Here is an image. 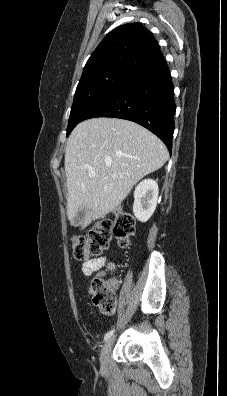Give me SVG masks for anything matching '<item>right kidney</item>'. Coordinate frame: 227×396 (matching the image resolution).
Instances as JSON below:
<instances>
[{
    "label": "right kidney",
    "instance_id": "ca27d5eb",
    "mask_svg": "<svg viewBox=\"0 0 227 396\" xmlns=\"http://www.w3.org/2000/svg\"><path fill=\"white\" fill-rule=\"evenodd\" d=\"M158 184L152 179L140 182L134 191L133 213L135 217L146 222L153 214L158 200Z\"/></svg>",
    "mask_w": 227,
    "mask_h": 396
}]
</instances>
